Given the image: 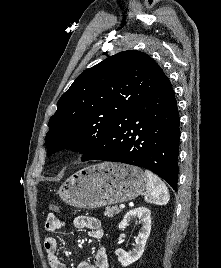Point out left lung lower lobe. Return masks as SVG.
<instances>
[{
  "mask_svg": "<svg viewBox=\"0 0 221 268\" xmlns=\"http://www.w3.org/2000/svg\"><path fill=\"white\" fill-rule=\"evenodd\" d=\"M179 138V113L170 83L122 115L88 160L147 168L176 191Z\"/></svg>",
  "mask_w": 221,
  "mask_h": 268,
  "instance_id": "1",
  "label": "left lung lower lobe"
}]
</instances>
